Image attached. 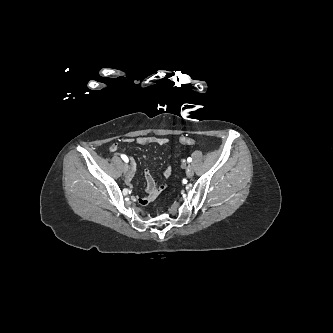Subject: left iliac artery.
Listing matches in <instances>:
<instances>
[{
  "label": "left iliac artery",
  "instance_id": "44dca946",
  "mask_svg": "<svg viewBox=\"0 0 333 333\" xmlns=\"http://www.w3.org/2000/svg\"><path fill=\"white\" fill-rule=\"evenodd\" d=\"M187 161L190 163L192 161V158L191 157L187 158Z\"/></svg>",
  "mask_w": 333,
  "mask_h": 333
}]
</instances>
